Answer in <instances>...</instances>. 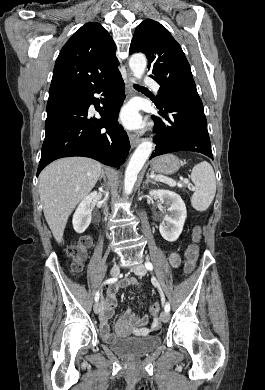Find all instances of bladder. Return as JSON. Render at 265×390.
Returning a JSON list of instances; mask_svg holds the SVG:
<instances>
[{
  "label": "bladder",
  "instance_id": "obj_1",
  "mask_svg": "<svg viewBox=\"0 0 265 390\" xmlns=\"http://www.w3.org/2000/svg\"><path fill=\"white\" fill-rule=\"evenodd\" d=\"M160 345L161 340L159 336L155 335L144 337H115L109 342L110 349L126 359L143 357Z\"/></svg>",
  "mask_w": 265,
  "mask_h": 390
}]
</instances>
